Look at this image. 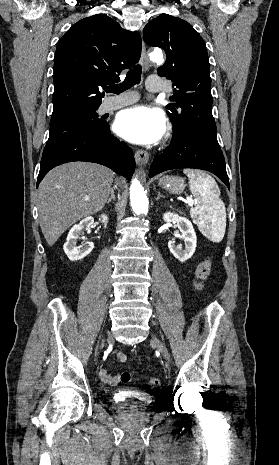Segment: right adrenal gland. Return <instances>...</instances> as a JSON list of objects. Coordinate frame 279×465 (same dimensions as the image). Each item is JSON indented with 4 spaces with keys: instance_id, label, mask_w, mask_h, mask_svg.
Listing matches in <instances>:
<instances>
[{
    "instance_id": "obj_1",
    "label": "right adrenal gland",
    "mask_w": 279,
    "mask_h": 465,
    "mask_svg": "<svg viewBox=\"0 0 279 465\" xmlns=\"http://www.w3.org/2000/svg\"><path fill=\"white\" fill-rule=\"evenodd\" d=\"M110 193L111 196L109 197L107 204H109L112 200H115L114 189H111Z\"/></svg>"
}]
</instances>
